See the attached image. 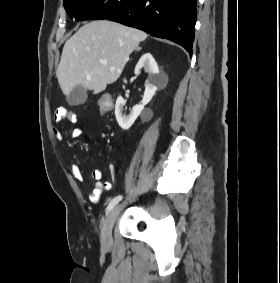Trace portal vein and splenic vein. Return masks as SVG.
<instances>
[{
	"label": "portal vein and splenic vein",
	"mask_w": 280,
	"mask_h": 283,
	"mask_svg": "<svg viewBox=\"0 0 280 283\" xmlns=\"http://www.w3.org/2000/svg\"><path fill=\"white\" fill-rule=\"evenodd\" d=\"M100 63L105 65V64H107V61L106 60H100Z\"/></svg>",
	"instance_id": "18ae733b"
}]
</instances>
